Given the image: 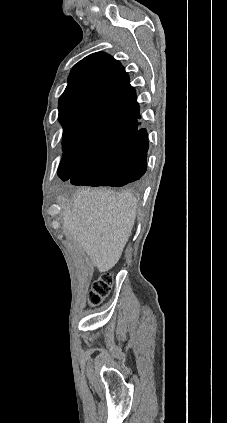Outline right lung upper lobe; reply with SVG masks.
<instances>
[{
  "label": "right lung upper lobe",
  "instance_id": "obj_1",
  "mask_svg": "<svg viewBox=\"0 0 227 423\" xmlns=\"http://www.w3.org/2000/svg\"><path fill=\"white\" fill-rule=\"evenodd\" d=\"M133 98L135 90L117 60L103 52L85 57L72 69L68 86L59 99L63 147L91 155L130 137L137 127L122 120H106L102 114Z\"/></svg>",
  "mask_w": 227,
  "mask_h": 423
}]
</instances>
